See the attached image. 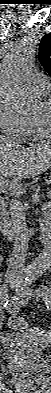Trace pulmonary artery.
Segmentation results:
<instances>
[{
    "label": "pulmonary artery",
    "mask_w": 51,
    "mask_h": 393,
    "mask_svg": "<svg viewBox=\"0 0 51 393\" xmlns=\"http://www.w3.org/2000/svg\"><path fill=\"white\" fill-rule=\"evenodd\" d=\"M32 81L36 89L42 94H48L50 91L49 79L40 73H36L32 77Z\"/></svg>",
    "instance_id": "1"
}]
</instances>
